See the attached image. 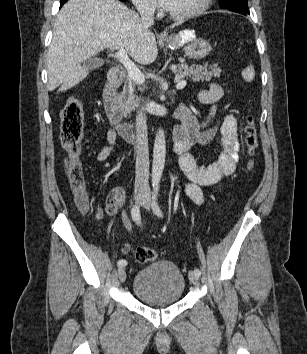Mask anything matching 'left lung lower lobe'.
Returning <instances> with one entry per match:
<instances>
[{"label": "left lung lower lobe", "instance_id": "1", "mask_svg": "<svg viewBox=\"0 0 307 354\" xmlns=\"http://www.w3.org/2000/svg\"><path fill=\"white\" fill-rule=\"evenodd\" d=\"M241 14H243V15H245V16L248 15V14H246V13H241Z\"/></svg>", "mask_w": 307, "mask_h": 354}]
</instances>
